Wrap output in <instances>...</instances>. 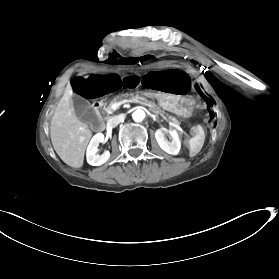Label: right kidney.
Returning a JSON list of instances; mask_svg holds the SVG:
<instances>
[{
    "label": "right kidney",
    "instance_id": "right-kidney-1",
    "mask_svg": "<svg viewBox=\"0 0 279 279\" xmlns=\"http://www.w3.org/2000/svg\"><path fill=\"white\" fill-rule=\"evenodd\" d=\"M104 142V135L102 133H97L91 139L87 148V162L92 166H100L104 164L110 157V152L105 151L102 155L97 154L99 143Z\"/></svg>",
    "mask_w": 279,
    "mask_h": 279
}]
</instances>
